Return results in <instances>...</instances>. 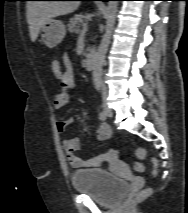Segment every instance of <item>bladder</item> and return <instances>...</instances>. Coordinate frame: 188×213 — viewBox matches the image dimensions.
I'll list each match as a JSON object with an SVG mask.
<instances>
[{
	"instance_id": "bladder-1",
	"label": "bladder",
	"mask_w": 188,
	"mask_h": 213,
	"mask_svg": "<svg viewBox=\"0 0 188 213\" xmlns=\"http://www.w3.org/2000/svg\"><path fill=\"white\" fill-rule=\"evenodd\" d=\"M71 183L76 190L82 191L102 205H113L128 190L126 180L98 168L74 171L71 174Z\"/></svg>"
}]
</instances>
